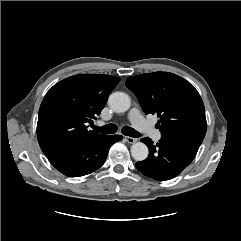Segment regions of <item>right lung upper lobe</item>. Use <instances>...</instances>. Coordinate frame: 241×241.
<instances>
[{"label": "right lung upper lobe", "instance_id": "cb5924a9", "mask_svg": "<svg viewBox=\"0 0 241 241\" xmlns=\"http://www.w3.org/2000/svg\"><path fill=\"white\" fill-rule=\"evenodd\" d=\"M119 81L109 75L80 74L55 84L39 109L37 138L44 154L103 135L88 130L87 124L100 114Z\"/></svg>", "mask_w": 241, "mask_h": 241}]
</instances>
